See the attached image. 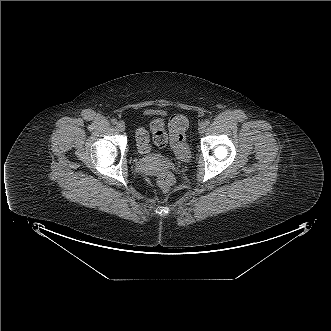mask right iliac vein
I'll use <instances>...</instances> for the list:
<instances>
[{
    "instance_id": "obj_1",
    "label": "right iliac vein",
    "mask_w": 331,
    "mask_h": 331,
    "mask_svg": "<svg viewBox=\"0 0 331 331\" xmlns=\"http://www.w3.org/2000/svg\"><path fill=\"white\" fill-rule=\"evenodd\" d=\"M116 128L118 131L123 132L125 130V124L123 122H118Z\"/></svg>"
}]
</instances>
